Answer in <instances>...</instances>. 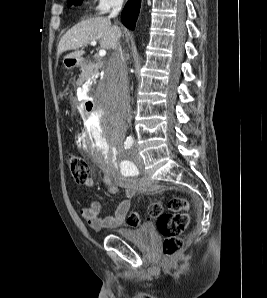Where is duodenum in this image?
<instances>
[{
  "mask_svg": "<svg viewBox=\"0 0 267 298\" xmlns=\"http://www.w3.org/2000/svg\"><path fill=\"white\" fill-rule=\"evenodd\" d=\"M83 64L82 60H78L73 66L78 67ZM96 93H89V97L80 98V104L83 105L85 115H95L93 105H95Z\"/></svg>",
  "mask_w": 267,
  "mask_h": 298,
  "instance_id": "obj_1",
  "label": "duodenum"
}]
</instances>
